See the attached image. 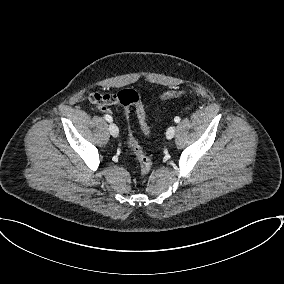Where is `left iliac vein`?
I'll list each match as a JSON object with an SVG mask.
<instances>
[{
	"label": "left iliac vein",
	"instance_id": "1",
	"mask_svg": "<svg viewBox=\"0 0 284 284\" xmlns=\"http://www.w3.org/2000/svg\"><path fill=\"white\" fill-rule=\"evenodd\" d=\"M175 132H176L175 126L169 127L166 131V138L169 140L172 139L175 135Z\"/></svg>",
	"mask_w": 284,
	"mask_h": 284
}]
</instances>
